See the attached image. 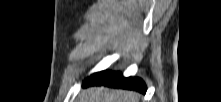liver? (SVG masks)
Masks as SVG:
<instances>
[{"instance_id":"6515ba94","label":"liver","mask_w":221,"mask_h":102,"mask_svg":"<svg viewBox=\"0 0 221 102\" xmlns=\"http://www.w3.org/2000/svg\"><path fill=\"white\" fill-rule=\"evenodd\" d=\"M85 102H138L139 94L123 90L93 87L87 90Z\"/></svg>"}]
</instances>
